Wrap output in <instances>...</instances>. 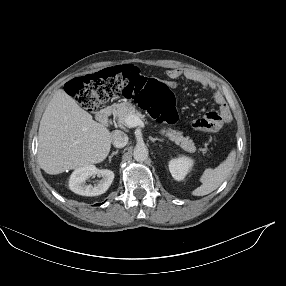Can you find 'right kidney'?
<instances>
[{
  "label": "right kidney",
  "mask_w": 286,
  "mask_h": 286,
  "mask_svg": "<svg viewBox=\"0 0 286 286\" xmlns=\"http://www.w3.org/2000/svg\"><path fill=\"white\" fill-rule=\"evenodd\" d=\"M93 175L101 177V180L95 184H86V181ZM114 179V173L111 170L97 169L94 165H87L77 168L70 176L69 188L76 194L82 196H98L107 191Z\"/></svg>",
  "instance_id": "obj_1"
}]
</instances>
